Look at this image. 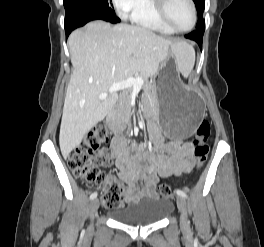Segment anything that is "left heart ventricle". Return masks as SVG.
I'll return each mask as SVG.
<instances>
[{
    "instance_id": "left-heart-ventricle-1",
    "label": "left heart ventricle",
    "mask_w": 264,
    "mask_h": 247,
    "mask_svg": "<svg viewBox=\"0 0 264 247\" xmlns=\"http://www.w3.org/2000/svg\"><path fill=\"white\" fill-rule=\"evenodd\" d=\"M167 15L178 28H187L192 22L191 6L187 0H168Z\"/></svg>"
}]
</instances>
